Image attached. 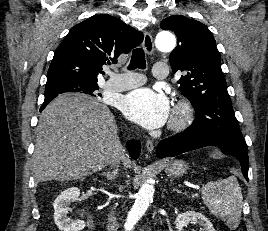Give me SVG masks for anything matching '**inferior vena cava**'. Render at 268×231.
<instances>
[{
    "instance_id": "inferior-vena-cava-1",
    "label": "inferior vena cava",
    "mask_w": 268,
    "mask_h": 231,
    "mask_svg": "<svg viewBox=\"0 0 268 231\" xmlns=\"http://www.w3.org/2000/svg\"><path fill=\"white\" fill-rule=\"evenodd\" d=\"M119 162V160L115 159L111 162L112 165H115ZM118 229V224H117V221H116V218L114 216V213L111 212L109 214V217H108V228L107 230L108 231H117Z\"/></svg>"
}]
</instances>
